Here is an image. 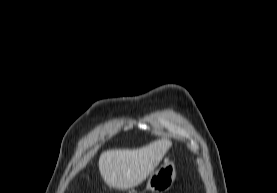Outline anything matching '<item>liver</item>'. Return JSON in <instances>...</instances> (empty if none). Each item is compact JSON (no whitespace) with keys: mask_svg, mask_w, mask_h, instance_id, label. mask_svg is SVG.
Segmentation results:
<instances>
[{"mask_svg":"<svg viewBox=\"0 0 277 193\" xmlns=\"http://www.w3.org/2000/svg\"><path fill=\"white\" fill-rule=\"evenodd\" d=\"M172 142L161 139L139 149H115L99 157V170L104 182L125 190L138 186L159 165Z\"/></svg>","mask_w":277,"mask_h":193,"instance_id":"1","label":"liver"}]
</instances>
